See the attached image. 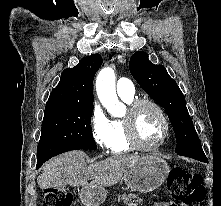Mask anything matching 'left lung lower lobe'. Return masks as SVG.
<instances>
[{
  "mask_svg": "<svg viewBox=\"0 0 221 206\" xmlns=\"http://www.w3.org/2000/svg\"><path fill=\"white\" fill-rule=\"evenodd\" d=\"M196 160H200L202 162H208L206 156L205 157H201V158H194Z\"/></svg>",
  "mask_w": 221,
  "mask_h": 206,
  "instance_id": "0a47b994",
  "label": "left lung lower lobe"
}]
</instances>
